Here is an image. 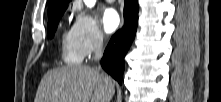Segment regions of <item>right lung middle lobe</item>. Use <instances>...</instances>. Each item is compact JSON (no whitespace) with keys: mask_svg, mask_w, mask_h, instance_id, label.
I'll use <instances>...</instances> for the list:
<instances>
[{"mask_svg":"<svg viewBox=\"0 0 221 102\" xmlns=\"http://www.w3.org/2000/svg\"><path fill=\"white\" fill-rule=\"evenodd\" d=\"M66 10V8L56 12L52 17L49 18L48 21V35L50 38H53L54 33L56 31L58 22L60 20V18L62 17L64 11Z\"/></svg>","mask_w":221,"mask_h":102,"instance_id":"1","label":"right lung middle lobe"}]
</instances>
